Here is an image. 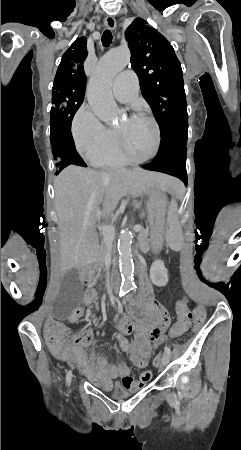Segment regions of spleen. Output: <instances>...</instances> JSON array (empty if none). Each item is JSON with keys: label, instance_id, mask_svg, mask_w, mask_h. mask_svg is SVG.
<instances>
[{"label": "spleen", "instance_id": "obj_1", "mask_svg": "<svg viewBox=\"0 0 241 450\" xmlns=\"http://www.w3.org/2000/svg\"><path fill=\"white\" fill-rule=\"evenodd\" d=\"M177 207V206H176ZM168 223H169V229H168V243H169V249L172 253H179L180 250L183 247V229L178 227V224L180 223L179 215L177 212H170L168 215Z\"/></svg>", "mask_w": 241, "mask_h": 450}]
</instances>
